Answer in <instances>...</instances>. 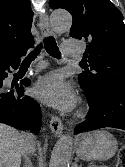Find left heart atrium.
Returning <instances> with one entry per match:
<instances>
[{"label":"left heart atrium","mask_w":125,"mask_h":167,"mask_svg":"<svg viewBox=\"0 0 125 167\" xmlns=\"http://www.w3.org/2000/svg\"><path fill=\"white\" fill-rule=\"evenodd\" d=\"M33 93L39 100L63 111H70L75 105L71 85L57 72L40 79L34 86Z\"/></svg>","instance_id":"39dd6f15"}]
</instances>
